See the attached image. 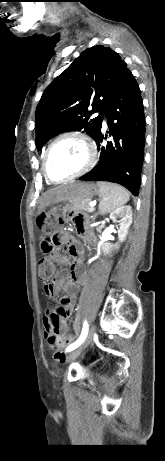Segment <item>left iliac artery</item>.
<instances>
[{"instance_id":"obj_1","label":"left iliac artery","mask_w":165,"mask_h":461,"mask_svg":"<svg viewBox=\"0 0 165 461\" xmlns=\"http://www.w3.org/2000/svg\"><path fill=\"white\" fill-rule=\"evenodd\" d=\"M87 334H88V324L85 321L84 325H83L82 333H81L79 339L76 342H74L73 344H71L70 346H68L67 351H72V350L76 349L77 347H79L83 343V341L86 339Z\"/></svg>"}]
</instances>
